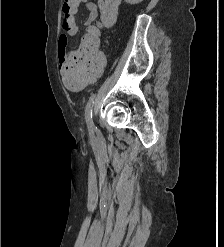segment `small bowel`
<instances>
[{
	"label": "small bowel",
	"instance_id": "small-bowel-1",
	"mask_svg": "<svg viewBox=\"0 0 224 247\" xmlns=\"http://www.w3.org/2000/svg\"><path fill=\"white\" fill-rule=\"evenodd\" d=\"M79 1H80V6L82 4H85L87 10L89 11V16L87 20L84 22V26L88 28L98 16V7L94 2L90 0H79ZM62 27L64 33L60 35L57 46V56L60 63L66 61L69 56L67 52L68 38L78 33V26L75 22V17L69 20L62 19Z\"/></svg>",
	"mask_w": 224,
	"mask_h": 247
}]
</instances>
